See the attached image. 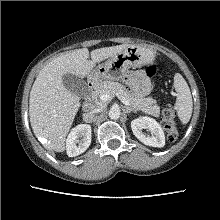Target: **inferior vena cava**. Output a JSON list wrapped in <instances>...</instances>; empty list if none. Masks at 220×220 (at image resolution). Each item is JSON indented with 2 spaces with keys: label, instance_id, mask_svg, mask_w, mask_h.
Listing matches in <instances>:
<instances>
[{
  "label": "inferior vena cava",
  "instance_id": "obj_1",
  "mask_svg": "<svg viewBox=\"0 0 220 220\" xmlns=\"http://www.w3.org/2000/svg\"><path fill=\"white\" fill-rule=\"evenodd\" d=\"M102 111V108H95L93 110H91L90 112H88L85 116V119H89L92 118L95 114L99 113Z\"/></svg>",
  "mask_w": 220,
  "mask_h": 220
}]
</instances>
